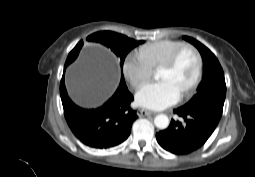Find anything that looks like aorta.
Instances as JSON below:
<instances>
[{
	"instance_id": "obj_1",
	"label": "aorta",
	"mask_w": 255,
	"mask_h": 177,
	"mask_svg": "<svg viewBox=\"0 0 255 177\" xmlns=\"http://www.w3.org/2000/svg\"><path fill=\"white\" fill-rule=\"evenodd\" d=\"M154 124L159 129H166L169 126V118L165 114H159L154 118Z\"/></svg>"
}]
</instances>
